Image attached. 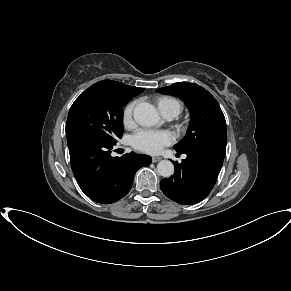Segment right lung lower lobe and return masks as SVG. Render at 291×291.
<instances>
[{"label": "right lung lower lobe", "mask_w": 291, "mask_h": 291, "mask_svg": "<svg viewBox=\"0 0 291 291\" xmlns=\"http://www.w3.org/2000/svg\"><path fill=\"white\" fill-rule=\"evenodd\" d=\"M71 167L81 190L93 201L110 204L131 189L136 171L151 157L133 152L112 157L115 144L79 132L66 133Z\"/></svg>", "instance_id": "98d812e1"}]
</instances>
